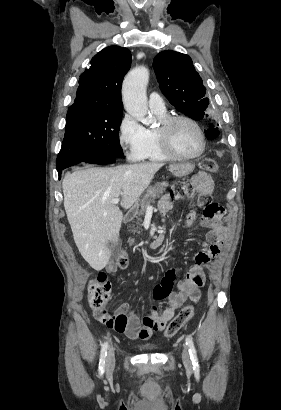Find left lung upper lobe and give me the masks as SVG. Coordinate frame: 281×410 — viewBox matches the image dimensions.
<instances>
[{
	"label": "left lung upper lobe",
	"mask_w": 281,
	"mask_h": 410,
	"mask_svg": "<svg viewBox=\"0 0 281 410\" xmlns=\"http://www.w3.org/2000/svg\"><path fill=\"white\" fill-rule=\"evenodd\" d=\"M154 71L160 89L175 108L194 120H205L209 101L205 87L188 55L175 51H162L154 58ZM214 128L211 137H217Z\"/></svg>",
	"instance_id": "5c2ea615"
}]
</instances>
